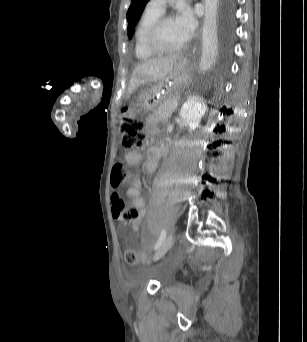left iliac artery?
<instances>
[{
	"instance_id": "obj_1",
	"label": "left iliac artery",
	"mask_w": 307,
	"mask_h": 342,
	"mask_svg": "<svg viewBox=\"0 0 307 342\" xmlns=\"http://www.w3.org/2000/svg\"><path fill=\"white\" fill-rule=\"evenodd\" d=\"M165 238H166V230L163 228L161 233H160V236H159V238L155 244V247H154L155 250H157L160 247V245L165 240Z\"/></svg>"
}]
</instances>
